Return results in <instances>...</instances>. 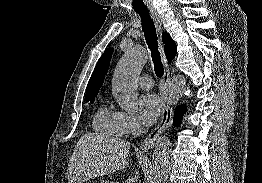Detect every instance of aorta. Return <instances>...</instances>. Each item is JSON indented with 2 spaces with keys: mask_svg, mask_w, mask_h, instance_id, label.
<instances>
[{
  "mask_svg": "<svg viewBox=\"0 0 262 183\" xmlns=\"http://www.w3.org/2000/svg\"><path fill=\"white\" fill-rule=\"evenodd\" d=\"M148 60L147 52L141 47L127 51L119 61L112 82V92L119 106L127 111L134 112L138 108L136 78ZM186 87L182 75L174 76L163 92V99L170 105L176 104L182 97ZM172 157L170 141L161 136L155 144V167L153 183H159L165 178L171 168Z\"/></svg>",
  "mask_w": 262,
  "mask_h": 183,
  "instance_id": "obj_1",
  "label": "aorta"
}]
</instances>
